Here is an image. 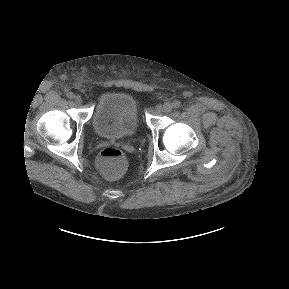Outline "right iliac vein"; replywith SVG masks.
<instances>
[{
	"label": "right iliac vein",
	"instance_id": "1",
	"mask_svg": "<svg viewBox=\"0 0 289 289\" xmlns=\"http://www.w3.org/2000/svg\"><path fill=\"white\" fill-rule=\"evenodd\" d=\"M74 100H75L76 104H81L82 103V97L79 96V95L75 96Z\"/></svg>",
	"mask_w": 289,
	"mask_h": 289
}]
</instances>
